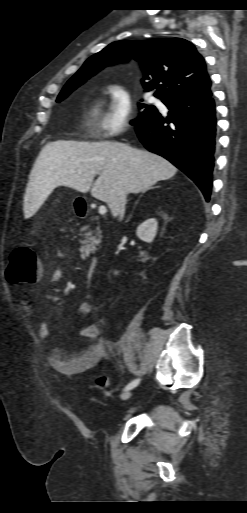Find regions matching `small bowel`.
Segmentation results:
<instances>
[{
    "instance_id": "1",
    "label": "small bowel",
    "mask_w": 247,
    "mask_h": 513,
    "mask_svg": "<svg viewBox=\"0 0 247 513\" xmlns=\"http://www.w3.org/2000/svg\"><path fill=\"white\" fill-rule=\"evenodd\" d=\"M56 263L52 271L51 278L58 281L62 277L61 261L63 253L60 250L55 252ZM24 311L32 314V307L24 301L22 303ZM92 311V305L89 301H83L77 308V314L86 316ZM38 331L43 340H49L52 332L46 322L38 324ZM79 334L83 338L85 345L78 352H64L57 349H51L46 355L48 366L55 372L64 375L81 374L95 367L109 357H116L121 350L119 342L110 344L102 336L99 328L94 324L83 325L79 329Z\"/></svg>"
}]
</instances>
